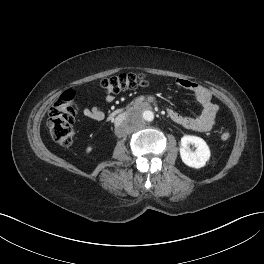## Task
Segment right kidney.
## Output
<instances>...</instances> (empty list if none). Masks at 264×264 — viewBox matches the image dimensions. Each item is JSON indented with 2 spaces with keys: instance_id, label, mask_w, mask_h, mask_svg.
Instances as JSON below:
<instances>
[{
  "instance_id": "right-kidney-1",
  "label": "right kidney",
  "mask_w": 264,
  "mask_h": 264,
  "mask_svg": "<svg viewBox=\"0 0 264 264\" xmlns=\"http://www.w3.org/2000/svg\"><path fill=\"white\" fill-rule=\"evenodd\" d=\"M91 150H92L91 147H88V148H87V152H90Z\"/></svg>"
}]
</instances>
